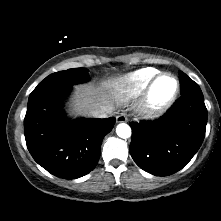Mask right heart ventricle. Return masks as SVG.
I'll use <instances>...</instances> for the list:
<instances>
[{"label": "right heart ventricle", "instance_id": "1", "mask_svg": "<svg viewBox=\"0 0 221 221\" xmlns=\"http://www.w3.org/2000/svg\"><path fill=\"white\" fill-rule=\"evenodd\" d=\"M157 73L154 68H142L113 81L110 86L119 99L126 101L141 94Z\"/></svg>", "mask_w": 221, "mask_h": 221}]
</instances>
